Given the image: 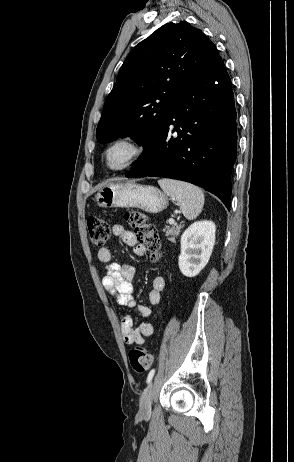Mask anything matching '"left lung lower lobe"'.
I'll use <instances>...</instances> for the list:
<instances>
[{"mask_svg":"<svg viewBox=\"0 0 294 462\" xmlns=\"http://www.w3.org/2000/svg\"><path fill=\"white\" fill-rule=\"evenodd\" d=\"M236 143L234 95L221 60L180 94L157 138L144 146L149 153L126 177L187 181L219 197L229 210Z\"/></svg>","mask_w":294,"mask_h":462,"instance_id":"0a47b994","label":"left lung lower lobe"}]
</instances>
